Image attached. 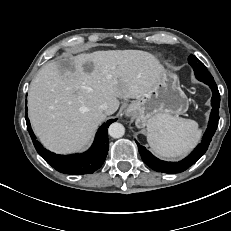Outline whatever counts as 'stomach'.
I'll use <instances>...</instances> for the list:
<instances>
[{"label": "stomach", "mask_w": 231, "mask_h": 231, "mask_svg": "<svg viewBox=\"0 0 231 231\" xmlns=\"http://www.w3.org/2000/svg\"><path fill=\"white\" fill-rule=\"evenodd\" d=\"M187 109L188 100L177 75L164 71L150 92L128 106L127 113L135 119L137 127H144L162 116H178Z\"/></svg>", "instance_id": "stomach-1"}]
</instances>
